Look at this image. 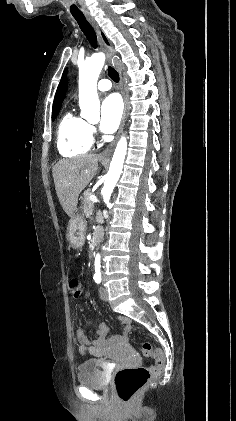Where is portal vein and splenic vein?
Masks as SVG:
<instances>
[{
  "label": "portal vein and splenic vein",
  "mask_w": 236,
  "mask_h": 421,
  "mask_svg": "<svg viewBox=\"0 0 236 421\" xmlns=\"http://www.w3.org/2000/svg\"><path fill=\"white\" fill-rule=\"evenodd\" d=\"M90 200H94V202H99L97 196H95V194H90L89 196Z\"/></svg>",
  "instance_id": "1"
}]
</instances>
